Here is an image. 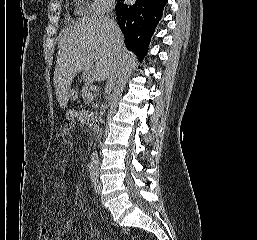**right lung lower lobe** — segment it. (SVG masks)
<instances>
[{"label":"right lung lower lobe","instance_id":"obj_1","mask_svg":"<svg viewBox=\"0 0 257 240\" xmlns=\"http://www.w3.org/2000/svg\"><path fill=\"white\" fill-rule=\"evenodd\" d=\"M167 2L168 0H136L134 4H127L125 0L117 1L116 15L126 46L142 59L148 51L151 36Z\"/></svg>","mask_w":257,"mask_h":240}]
</instances>
